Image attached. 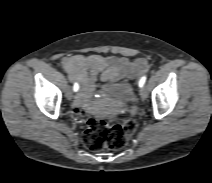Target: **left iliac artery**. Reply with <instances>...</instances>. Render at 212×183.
Wrapping results in <instances>:
<instances>
[{"mask_svg": "<svg viewBox=\"0 0 212 183\" xmlns=\"http://www.w3.org/2000/svg\"><path fill=\"white\" fill-rule=\"evenodd\" d=\"M146 81V76H143L139 81V87H143Z\"/></svg>", "mask_w": 212, "mask_h": 183, "instance_id": "left-iliac-artery-1", "label": "left iliac artery"}]
</instances>
